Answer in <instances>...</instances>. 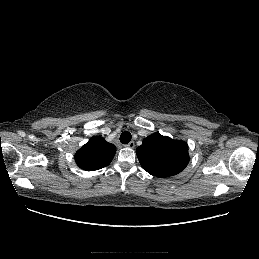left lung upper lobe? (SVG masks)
I'll return each mask as SVG.
<instances>
[{
  "instance_id": "obj_1",
  "label": "left lung upper lobe",
  "mask_w": 259,
  "mask_h": 259,
  "mask_svg": "<svg viewBox=\"0 0 259 259\" xmlns=\"http://www.w3.org/2000/svg\"><path fill=\"white\" fill-rule=\"evenodd\" d=\"M143 169L157 177H170L180 173L189 163L188 144L154 133L136 149Z\"/></svg>"
}]
</instances>
